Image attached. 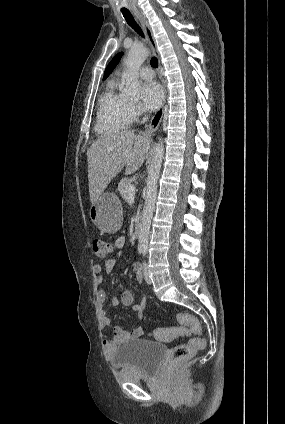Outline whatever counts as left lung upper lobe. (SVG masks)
Here are the masks:
<instances>
[{
  "label": "left lung upper lobe",
  "mask_w": 285,
  "mask_h": 424,
  "mask_svg": "<svg viewBox=\"0 0 285 424\" xmlns=\"http://www.w3.org/2000/svg\"><path fill=\"white\" fill-rule=\"evenodd\" d=\"M123 53H118L112 60L111 62L108 64V66L105 69V73H104V77L103 80L106 79L110 73L113 71V69L117 66V64L119 63L121 57H122Z\"/></svg>",
  "instance_id": "obj_1"
}]
</instances>
